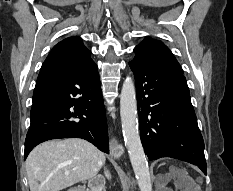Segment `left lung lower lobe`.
I'll return each mask as SVG.
<instances>
[{"mask_svg": "<svg viewBox=\"0 0 233 191\" xmlns=\"http://www.w3.org/2000/svg\"><path fill=\"white\" fill-rule=\"evenodd\" d=\"M140 136L150 160L177 158L207 174L204 141L198 128L186 79L161 64L133 59Z\"/></svg>", "mask_w": 233, "mask_h": 191, "instance_id": "1", "label": "left lung lower lobe"}]
</instances>
